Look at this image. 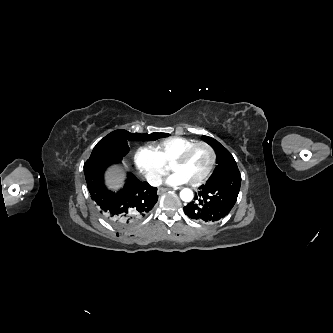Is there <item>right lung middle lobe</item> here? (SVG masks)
I'll list each match as a JSON object with an SVG mask.
<instances>
[{"label": "right lung middle lobe", "instance_id": "obj_1", "mask_svg": "<svg viewBox=\"0 0 333 333\" xmlns=\"http://www.w3.org/2000/svg\"><path fill=\"white\" fill-rule=\"evenodd\" d=\"M169 136L167 133H152L148 135L140 133H129L125 130H116L101 139L94 147L92 157H115L122 159L129 151L127 141L134 139L157 140L161 137Z\"/></svg>", "mask_w": 333, "mask_h": 333}]
</instances>
